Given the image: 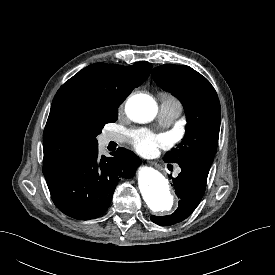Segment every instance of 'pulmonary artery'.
<instances>
[{"mask_svg": "<svg viewBox=\"0 0 275 275\" xmlns=\"http://www.w3.org/2000/svg\"><path fill=\"white\" fill-rule=\"evenodd\" d=\"M181 113L180 104H174L169 102H162L159 111V122L163 126H168L173 123ZM106 142H120L122 137L118 134L108 133L105 136ZM180 169L176 170L179 173Z\"/></svg>", "mask_w": 275, "mask_h": 275, "instance_id": "e3ab8cb5", "label": "pulmonary artery"}]
</instances>
